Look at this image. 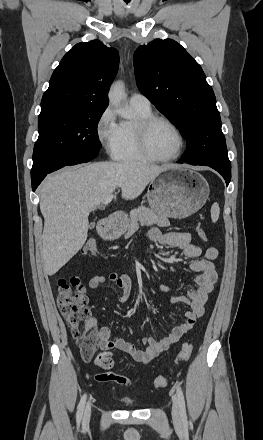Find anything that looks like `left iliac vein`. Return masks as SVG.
I'll return each mask as SVG.
<instances>
[{
    "instance_id": "obj_1",
    "label": "left iliac vein",
    "mask_w": 263,
    "mask_h": 440,
    "mask_svg": "<svg viewBox=\"0 0 263 440\" xmlns=\"http://www.w3.org/2000/svg\"><path fill=\"white\" fill-rule=\"evenodd\" d=\"M173 403H172V418L175 423H181L182 421V413H181V407L179 404V400L176 396L173 397Z\"/></svg>"
}]
</instances>
